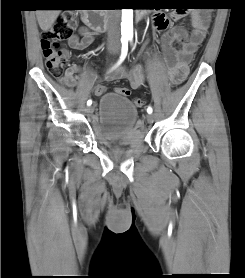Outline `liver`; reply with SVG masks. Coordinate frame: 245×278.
<instances>
[{
	"instance_id": "obj_1",
	"label": "liver",
	"mask_w": 245,
	"mask_h": 278,
	"mask_svg": "<svg viewBox=\"0 0 245 278\" xmlns=\"http://www.w3.org/2000/svg\"><path fill=\"white\" fill-rule=\"evenodd\" d=\"M60 10H37L36 17L40 28L46 32L56 21Z\"/></svg>"
}]
</instances>
